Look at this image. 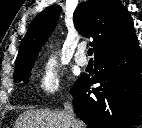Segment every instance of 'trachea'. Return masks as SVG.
<instances>
[{"label":"trachea","instance_id":"obj_1","mask_svg":"<svg viewBox=\"0 0 142 128\" xmlns=\"http://www.w3.org/2000/svg\"><path fill=\"white\" fill-rule=\"evenodd\" d=\"M92 54H93V49H92V48H89V49H88V55L91 56Z\"/></svg>","mask_w":142,"mask_h":128}]
</instances>
